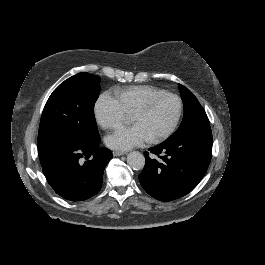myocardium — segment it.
<instances>
[{
  "label": "myocardium",
  "instance_id": "f54148a6",
  "mask_svg": "<svg viewBox=\"0 0 265 265\" xmlns=\"http://www.w3.org/2000/svg\"><path fill=\"white\" fill-rule=\"evenodd\" d=\"M160 97H170V98L175 99L177 101V104H178L177 113H176V116H175L174 120L172 121V123L166 129H164L158 135L152 137L149 140L150 144L159 143L163 139L170 136L173 133V131L176 129L177 125L179 124L180 119L182 117V113H183V100H182V98L175 93L165 91V90H160V91L150 95L148 98H146L142 102V104L137 108V110L135 111V114L145 112L151 106V104Z\"/></svg>",
  "mask_w": 265,
  "mask_h": 265
}]
</instances>
